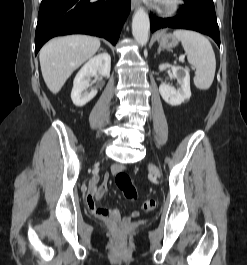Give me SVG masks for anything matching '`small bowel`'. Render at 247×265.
<instances>
[{
  "instance_id": "1",
  "label": "small bowel",
  "mask_w": 247,
  "mask_h": 265,
  "mask_svg": "<svg viewBox=\"0 0 247 265\" xmlns=\"http://www.w3.org/2000/svg\"><path fill=\"white\" fill-rule=\"evenodd\" d=\"M121 169L122 167L120 166H114L112 171L114 173H117ZM108 184H109V174H105L102 183L98 187H96L95 185L90 187L86 200L88 207L96 215L103 218L104 220L116 222L120 220L119 211L116 209H107L103 207L101 204L103 197L108 191ZM138 216H139L138 211H133L131 214L132 218Z\"/></svg>"
}]
</instances>
